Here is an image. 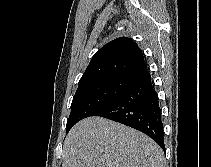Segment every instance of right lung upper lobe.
<instances>
[{
	"instance_id": "cb5924a9",
	"label": "right lung upper lobe",
	"mask_w": 211,
	"mask_h": 167,
	"mask_svg": "<svg viewBox=\"0 0 211 167\" xmlns=\"http://www.w3.org/2000/svg\"><path fill=\"white\" fill-rule=\"evenodd\" d=\"M146 69L138 45L128 37H119L94 54L78 85L102 78L130 79Z\"/></svg>"
}]
</instances>
